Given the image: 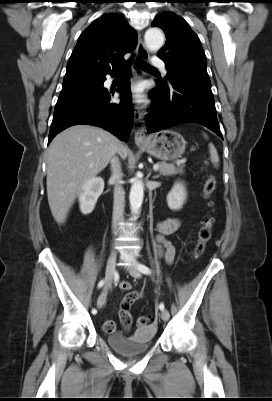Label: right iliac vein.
Returning a JSON list of instances; mask_svg holds the SVG:
<instances>
[{
    "mask_svg": "<svg viewBox=\"0 0 272 401\" xmlns=\"http://www.w3.org/2000/svg\"><path fill=\"white\" fill-rule=\"evenodd\" d=\"M116 253L112 252L108 258L107 265H106V281H105V286L103 289V292L100 295V300H103L102 302L105 301L108 290L112 284L113 276H114V271H115V264H116ZM100 300H98V307L101 308L102 305L100 303Z\"/></svg>",
    "mask_w": 272,
    "mask_h": 401,
    "instance_id": "right-iliac-vein-1",
    "label": "right iliac vein"
}]
</instances>
